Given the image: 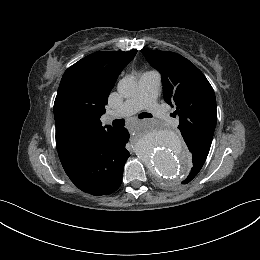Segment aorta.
<instances>
[{
  "mask_svg": "<svg viewBox=\"0 0 260 260\" xmlns=\"http://www.w3.org/2000/svg\"><path fill=\"white\" fill-rule=\"evenodd\" d=\"M118 92L126 98L136 94L138 83L133 78H123L117 85ZM136 135L138 152L153 173L160 178L175 180L185 176L190 168V157L179 136L156 122L140 124Z\"/></svg>",
  "mask_w": 260,
  "mask_h": 260,
  "instance_id": "762f6f07",
  "label": "aorta"
}]
</instances>
